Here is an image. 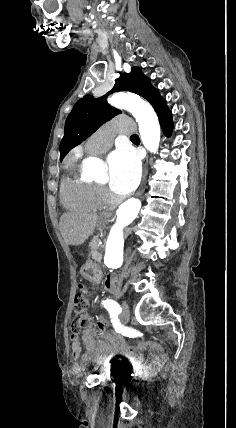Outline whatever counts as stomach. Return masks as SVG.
I'll return each mask as SVG.
<instances>
[{
    "label": "stomach",
    "instance_id": "obj_1",
    "mask_svg": "<svg viewBox=\"0 0 236 428\" xmlns=\"http://www.w3.org/2000/svg\"><path fill=\"white\" fill-rule=\"evenodd\" d=\"M99 269L98 264L88 260L80 271V278L86 279V282L91 283L92 286H99L103 279V271Z\"/></svg>",
    "mask_w": 236,
    "mask_h": 428
}]
</instances>
